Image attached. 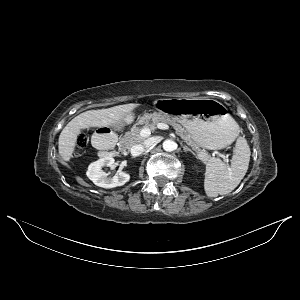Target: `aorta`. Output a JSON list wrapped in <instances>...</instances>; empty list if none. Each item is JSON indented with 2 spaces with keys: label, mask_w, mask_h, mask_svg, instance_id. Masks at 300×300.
I'll return each instance as SVG.
<instances>
[{
  "label": "aorta",
  "mask_w": 300,
  "mask_h": 300,
  "mask_svg": "<svg viewBox=\"0 0 300 300\" xmlns=\"http://www.w3.org/2000/svg\"><path fill=\"white\" fill-rule=\"evenodd\" d=\"M163 149L167 152H172L177 149V143L173 140L167 139L163 142Z\"/></svg>",
  "instance_id": "obj_1"
}]
</instances>
